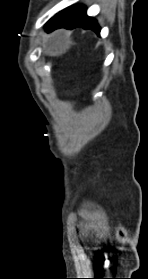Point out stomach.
Returning a JSON list of instances; mask_svg holds the SVG:
<instances>
[{"label":"stomach","instance_id":"obj_1","mask_svg":"<svg viewBox=\"0 0 148 279\" xmlns=\"http://www.w3.org/2000/svg\"><path fill=\"white\" fill-rule=\"evenodd\" d=\"M70 43V41L62 40L53 46L54 50H42V55H48V59H57L59 51L65 50Z\"/></svg>","mask_w":148,"mask_h":279}]
</instances>
